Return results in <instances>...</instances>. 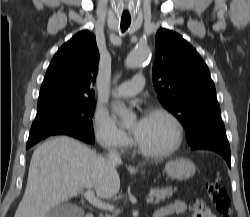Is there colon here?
<instances>
[{
	"instance_id": "colon-1",
	"label": "colon",
	"mask_w": 250,
	"mask_h": 217,
	"mask_svg": "<svg viewBox=\"0 0 250 217\" xmlns=\"http://www.w3.org/2000/svg\"><path fill=\"white\" fill-rule=\"evenodd\" d=\"M208 197L220 217H232L231 200L225 188L216 180L205 181Z\"/></svg>"
}]
</instances>
